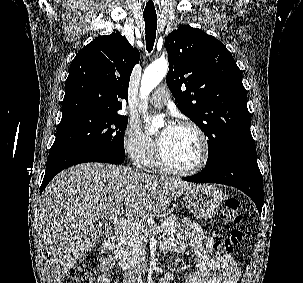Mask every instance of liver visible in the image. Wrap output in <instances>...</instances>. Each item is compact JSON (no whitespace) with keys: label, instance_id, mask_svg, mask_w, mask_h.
<instances>
[{"label":"liver","instance_id":"liver-1","mask_svg":"<svg viewBox=\"0 0 303 283\" xmlns=\"http://www.w3.org/2000/svg\"><path fill=\"white\" fill-rule=\"evenodd\" d=\"M194 184L125 166L86 163L59 173L40 206L43 237L55 279L62 283L75 263L100 241L95 223L125 213L135 222L161 213Z\"/></svg>","mask_w":303,"mask_h":283}]
</instances>
